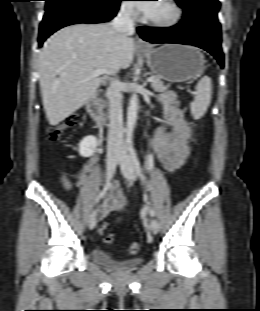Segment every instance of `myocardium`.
<instances>
[{
    "label": "myocardium",
    "mask_w": 260,
    "mask_h": 311,
    "mask_svg": "<svg viewBox=\"0 0 260 311\" xmlns=\"http://www.w3.org/2000/svg\"><path fill=\"white\" fill-rule=\"evenodd\" d=\"M172 10V16L166 20H155L146 16L144 21L157 28H171L176 26L183 17V10L176 0H165Z\"/></svg>",
    "instance_id": "1"
}]
</instances>
